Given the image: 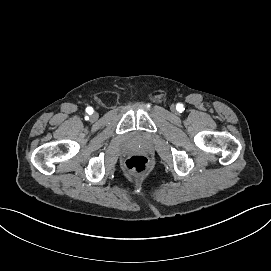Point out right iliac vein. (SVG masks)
I'll return each instance as SVG.
<instances>
[{
  "label": "right iliac vein",
  "instance_id": "right-iliac-vein-1",
  "mask_svg": "<svg viewBox=\"0 0 271 271\" xmlns=\"http://www.w3.org/2000/svg\"><path fill=\"white\" fill-rule=\"evenodd\" d=\"M97 117H98V114H97L96 112H94V113L92 114V116H91V119H92V120H96Z\"/></svg>",
  "mask_w": 271,
  "mask_h": 271
}]
</instances>
